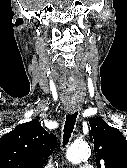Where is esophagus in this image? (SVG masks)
Segmentation results:
<instances>
[{
  "label": "esophagus",
  "instance_id": "1",
  "mask_svg": "<svg viewBox=\"0 0 127 168\" xmlns=\"http://www.w3.org/2000/svg\"><path fill=\"white\" fill-rule=\"evenodd\" d=\"M66 111L68 113H74L76 111V107H67Z\"/></svg>",
  "mask_w": 127,
  "mask_h": 168
}]
</instances>
